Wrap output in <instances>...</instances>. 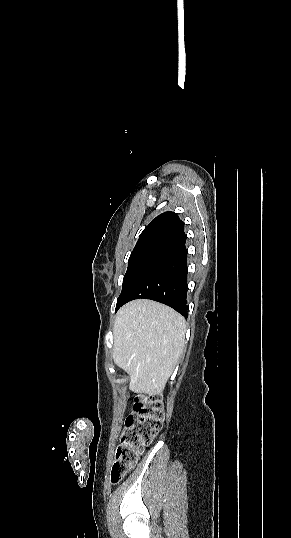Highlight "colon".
I'll use <instances>...</instances> for the list:
<instances>
[{"label":"colon","instance_id":"1","mask_svg":"<svg viewBox=\"0 0 291 538\" xmlns=\"http://www.w3.org/2000/svg\"><path fill=\"white\" fill-rule=\"evenodd\" d=\"M164 405L159 394L135 398L111 467L110 481L116 484L138 461L145 447L159 433L164 421Z\"/></svg>","mask_w":291,"mask_h":538}]
</instances>
